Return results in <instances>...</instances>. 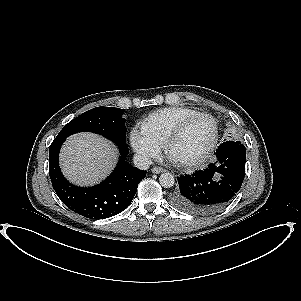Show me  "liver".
Wrapping results in <instances>:
<instances>
[{"mask_svg": "<svg viewBox=\"0 0 301 301\" xmlns=\"http://www.w3.org/2000/svg\"><path fill=\"white\" fill-rule=\"evenodd\" d=\"M118 158V149L107 139L83 132L67 138L60 165L68 180L78 185H92L109 175Z\"/></svg>", "mask_w": 301, "mask_h": 301, "instance_id": "6515ba94", "label": "liver"}]
</instances>
